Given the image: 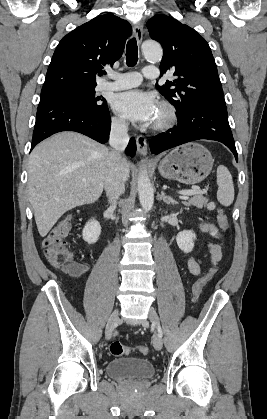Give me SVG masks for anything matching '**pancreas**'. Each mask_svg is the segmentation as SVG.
<instances>
[{
    "instance_id": "obj_1",
    "label": "pancreas",
    "mask_w": 267,
    "mask_h": 419,
    "mask_svg": "<svg viewBox=\"0 0 267 419\" xmlns=\"http://www.w3.org/2000/svg\"><path fill=\"white\" fill-rule=\"evenodd\" d=\"M183 204L185 206L193 205L201 209L203 208V206H208V199L204 197L202 194H195L188 201H184Z\"/></svg>"
}]
</instances>
